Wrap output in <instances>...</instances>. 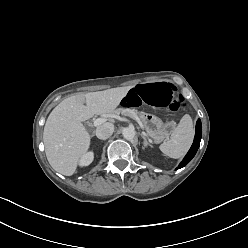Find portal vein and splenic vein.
<instances>
[{
  "mask_svg": "<svg viewBox=\"0 0 248 248\" xmlns=\"http://www.w3.org/2000/svg\"><path fill=\"white\" fill-rule=\"evenodd\" d=\"M105 121H106V119H104V118H98L93 122V124H94V126H99V125L103 124Z\"/></svg>",
  "mask_w": 248,
  "mask_h": 248,
  "instance_id": "portal-vein-and-splenic-vein-1",
  "label": "portal vein and splenic vein"
}]
</instances>
